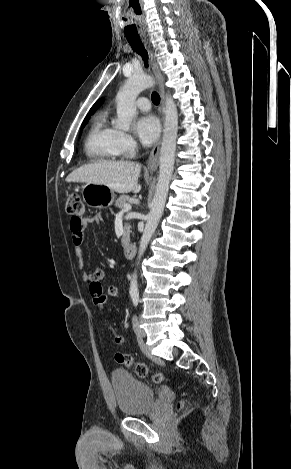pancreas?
Masks as SVG:
<instances>
[{
	"label": "pancreas",
	"mask_w": 291,
	"mask_h": 469,
	"mask_svg": "<svg viewBox=\"0 0 291 469\" xmlns=\"http://www.w3.org/2000/svg\"><path fill=\"white\" fill-rule=\"evenodd\" d=\"M130 200V196L128 195H121L115 202V206L119 208H124V206L128 203ZM129 240V227L126 224L124 227V233L122 237V243L126 244Z\"/></svg>",
	"instance_id": "pancreas-1"
}]
</instances>
